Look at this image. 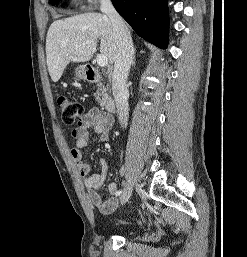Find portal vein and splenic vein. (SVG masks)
Listing matches in <instances>:
<instances>
[{"label":"portal vein and splenic vein","mask_w":247,"mask_h":257,"mask_svg":"<svg viewBox=\"0 0 247 257\" xmlns=\"http://www.w3.org/2000/svg\"><path fill=\"white\" fill-rule=\"evenodd\" d=\"M87 44L89 43L88 41L86 42ZM97 64L100 67H105L108 64V58L107 56L103 55V54H99L97 55Z\"/></svg>","instance_id":"portal-vein-and-splenic-vein-1"}]
</instances>
